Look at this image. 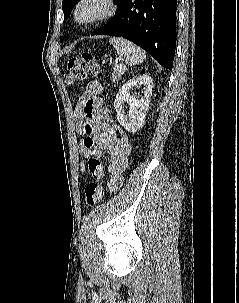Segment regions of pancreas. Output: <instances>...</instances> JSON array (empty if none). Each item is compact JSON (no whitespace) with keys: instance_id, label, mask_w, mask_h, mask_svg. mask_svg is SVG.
<instances>
[{"instance_id":"cf45deb5","label":"pancreas","mask_w":239,"mask_h":303,"mask_svg":"<svg viewBox=\"0 0 239 303\" xmlns=\"http://www.w3.org/2000/svg\"><path fill=\"white\" fill-rule=\"evenodd\" d=\"M126 71V66L123 64L115 65L113 68V73L111 77L112 83H116L122 77L123 73Z\"/></svg>"}]
</instances>
